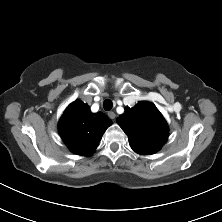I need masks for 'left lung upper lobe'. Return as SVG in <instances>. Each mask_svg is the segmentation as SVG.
Masks as SVG:
<instances>
[{"mask_svg": "<svg viewBox=\"0 0 222 222\" xmlns=\"http://www.w3.org/2000/svg\"><path fill=\"white\" fill-rule=\"evenodd\" d=\"M117 123L128 135L131 148L138 154L156 153L168 138V126L156 106L139 102L117 118Z\"/></svg>", "mask_w": 222, "mask_h": 222, "instance_id": "5c2ea615", "label": "left lung upper lobe"}]
</instances>
